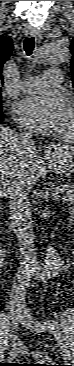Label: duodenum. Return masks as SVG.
Returning a JSON list of instances; mask_svg holds the SVG:
<instances>
[{"instance_id":"duodenum-1","label":"duodenum","mask_w":74,"mask_h":366,"mask_svg":"<svg viewBox=\"0 0 74 366\" xmlns=\"http://www.w3.org/2000/svg\"><path fill=\"white\" fill-rule=\"evenodd\" d=\"M40 278H43L41 274L38 275Z\"/></svg>"}]
</instances>
